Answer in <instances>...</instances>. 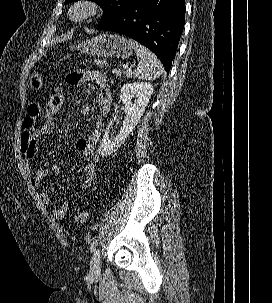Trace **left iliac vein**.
Wrapping results in <instances>:
<instances>
[{
	"instance_id": "left-iliac-vein-1",
	"label": "left iliac vein",
	"mask_w": 272,
	"mask_h": 303,
	"mask_svg": "<svg viewBox=\"0 0 272 303\" xmlns=\"http://www.w3.org/2000/svg\"><path fill=\"white\" fill-rule=\"evenodd\" d=\"M101 269V260H100V251L99 249L95 250L91 262H90V275L98 276Z\"/></svg>"
}]
</instances>
